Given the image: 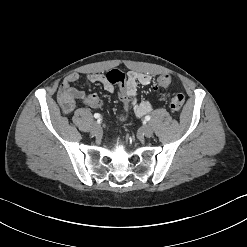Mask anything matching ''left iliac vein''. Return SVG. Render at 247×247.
<instances>
[{"mask_svg":"<svg viewBox=\"0 0 247 247\" xmlns=\"http://www.w3.org/2000/svg\"><path fill=\"white\" fill-rule=\"evenodd\" d=\"M142 133L146 137H151L153 135V128H152V126L151 125H145L142 128Z\"/></svg>","mask_w":247,"mask_h":247,"instance_id":"1","label":"left iliac vein"}]
</instances>
